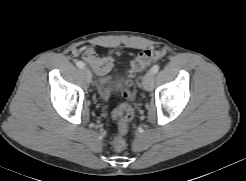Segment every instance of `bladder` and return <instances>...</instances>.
Returning a JSON list of instances; mask_svg holds the SVG:
<instances>
[{"label": "bladder", "mask_w": 246, "mask_h": 181, "mask_svg": "<svg viewBox=\"0 0 246 181\" xmlns=\"http://www.w3.org/2000/svg\"><path fill=\"white\" fill-rule=\"evenodd\" d=\"M123 82V78L121 74H118L115 78V82H114V90H118Z\"/></svg>", "instance_id": "bladder-1"}]
</instances>
